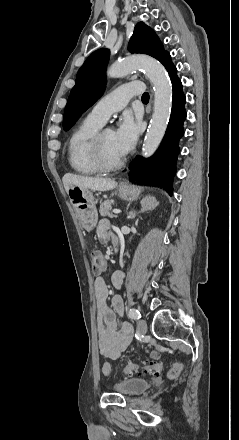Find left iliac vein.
<instances>
[{"label": "left iliac vein", "instance_id": "1", "mask_svg": "<svg viewBox=\"0 0 239 440\" xmlns=\"http://www.w3.org/2000/svg\"><path fill=\"white\" fill-rule=\"evenodd\" d=\"M138 329L141 334H146L148 327L147 322L144 319L138 321Z\"/></svg>", "mask_w": 239, "mask_h": 440}]
</instances>
